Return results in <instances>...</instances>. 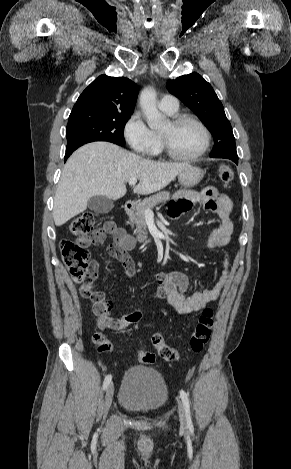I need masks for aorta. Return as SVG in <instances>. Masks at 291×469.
I'll return each mask as SVG.
<instances>
[{
    "instance_id": "762f6f07",
    "label": "aorta",
    "mask_w": 291,
    "mask_h": 469,
    "mask_svg": "<svg viewBox=\"0 0 291 469\" xmlns=\"http://www.w3.org/2000/svg\"><path fill=\"white\" fill-rule=\"evenodd\" d=\"M140 108L146 117V122L152 130L162 129L168 122L160 113L156 104V91L151 87L144 88L139 97Z\"/></svg>"
}]
</instances>
